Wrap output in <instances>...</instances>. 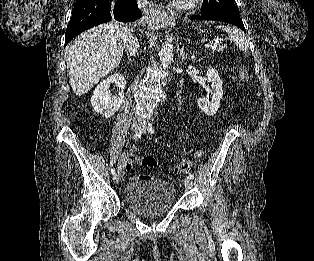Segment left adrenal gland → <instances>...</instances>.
I'll list each match as a JSON object with an SVG mask.
<instances>
[{"label": "left adrenal gland", "instance_id": "1", "mask_svg": "<svg viewBox=\"0 0 314 261\" xmlns=\"http://www.w3.org/2000/svg\"><path fill=\"white\" fill-rule=\"evenodd\" d=\"M180 56L182 60H186L188 58V54H185L184 47L180 51Z\"/></svg>", "mask_w": 314, "mask_h": 261}]
</instances>
